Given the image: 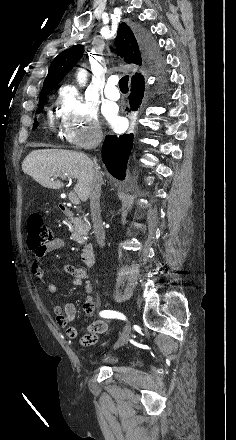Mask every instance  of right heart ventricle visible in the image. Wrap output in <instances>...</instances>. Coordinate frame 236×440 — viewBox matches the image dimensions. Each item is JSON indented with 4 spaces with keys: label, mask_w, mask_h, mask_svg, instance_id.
Returning a JSON list of instances; mask_svg holds the SVG:
<instances>
[{
    "label": "right heart ventricle",
    "mask_w": 236,
    "mask_h": 440,
    "mask_svg": "<svg viewBox=\"0 0 236 440\" xmlns=\"http://www.w3.org/2000/svg\"><path fill=\"white\" fill-rule=\"evenodd\" d=\"M49 120H50V122H51V117H49Z\"/></svg>",
    "instance_id": "obj_1"
}]
</instances>
